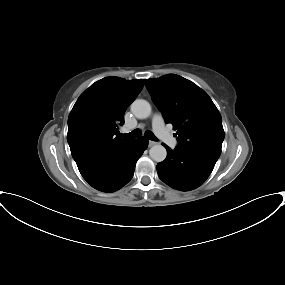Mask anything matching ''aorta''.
I'll use <instances>...</instances> for the list:
<instances>
[{
	"label": "aorta",
	"mask_w": 285,
	"mask_h": 285,
	"mask_svg": "<svg viewBox=\"0 0 285 285\" xmlns=\"http://www.w3.org/2000/svg\"><path fill=\"white\" fill-rule=\"evenodd\" d=\"M131 112L135 117L145 119L151 114V106L146 100L136 99L131 104ZM149 155L155 162H162L166 159L167 151L161 144H156L150 148Z\"/></svg>",
	"instance_id": "obj_1"
}]
</instances>
